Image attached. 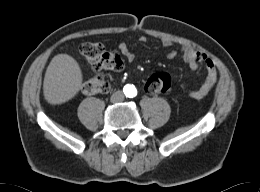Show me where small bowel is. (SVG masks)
Segmentation results:
<instances>
[{"instance_id":"1","label":"small bowel","mask_w":260,"mask_h":192,"mask_svg":"<svg viewBox=\"0 0 260 192\" xmlns=\"http://www.w3.org/2000/svg\"><path fill=\"white\" fill-rule=\"evenodd\" d=\"M139 41L145 43L147 42V38L141 37ZM162 45L169 47L172 45V42L170 40H163ZM118 50L129 62H133L135 60L136 55L127 43L121 42L118 45ZM178 54L181 55L183 61L193 71L197 70L201 64L205 66L207 74L203 84L198 89L192 90L188 93L189 97L193 99L204 98L212 90L218 79V72L215 63L207 54L188 46L182 47L180 53H178L176 50L169 51L167 57L169 59H173Z\"/></svg>"}]
</instances>
